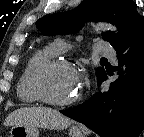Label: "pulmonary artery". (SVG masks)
<instances>
[{"label": "pulmonary artery", "mask_w": 144, "mask_h": 137, "mask_svg": "<svg viewBox=\"0 0 144 137\" xmlns=\"http://www.w3.org/2000/svg\"><path fill=\"white\" fill-rule=\"evenodd\" d=\"M67 47L68 45L66 44V42L61 39L56 40L52 45L55 53H62L66 50ZM94 50L101 55L111 58H114L116 55L114 49L107 42L104 41H97L94 44Z\"/></svg>", "instance_id": "e3ab8cb5"}]
</instances>
